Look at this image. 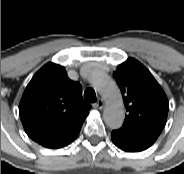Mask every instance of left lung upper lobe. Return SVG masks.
Here are the masks:
<instances>
[{
  "mask_svg": "<svg viewBox=\"0 0 184 174\" xmlns=\"http://www.w3.org/2000/svg\"><path fill=\"white\" fill-rule=\"evenodd\" d=\"M113 76L127 111L122 127L158 138L169 109L161 86L147 68L133 58L120 64Z\"/></svg>",
  "mask_w": 184,
  "mask_h": 174,
  "instance_id": "1",
  "label": "left lung upper lobe"
}]
</instances>
